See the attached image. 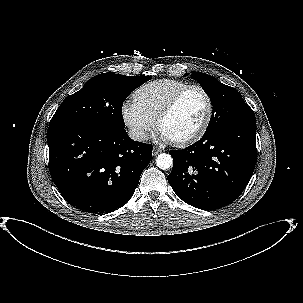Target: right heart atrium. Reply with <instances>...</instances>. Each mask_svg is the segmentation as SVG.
<instances>
[{"label": "right heart atrium", "mask_w": 303, "mask_h": 303, "mask_svg": "<svg viewBox=\"0 0 303 303\" xmlns=\"http://www.w3.org/2000/svg\"><path fill=\"white\" fill-rule=\"evenodd\" d=\"M121 116L131 136L137 141L145 140L156 126V121L134 99L123 102Z\"/></svg>", "instance_id": "obj_1"}]
</instances>
